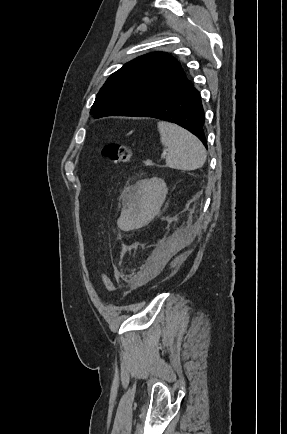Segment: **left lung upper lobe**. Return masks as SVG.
<instances>
[{
    "instance_id": "1",
    "label": "left lung upper lobe",
    "mask_w": 287,
    "mask_h": 434,
    "mask_svg": "<svg viewBox=\"0 0 287 434\" xmlns=\"http://www.w3.org/2000/svg\"><path fill=\"white\" fill-rule=\"evenodd\" d=\"M186 76L173 57L155 52L123 65L105 82L90 113L95 117L134 116L178 88Z\"/></svg>"
}]
</instances>
